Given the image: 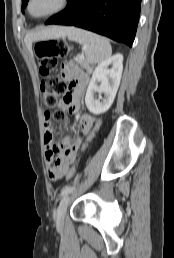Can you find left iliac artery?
<instances>
[{
    "instance_id": "44dca946",
    "label": "left iliac artery",
    "mask_w": 174,
    "mask_h": 258,
    "mask_svg": "<svg viewBox=\"0 0 174 258\" xmlns=\"http://www.w3.org/2000/svg\"><path fill=\"white\" fill-rule=\"evenodd\" d=\"M74 189H75L74 186H65V187L61 190L60 196L69 194V193H71Z\"/></svg>"
}]
</instances>
